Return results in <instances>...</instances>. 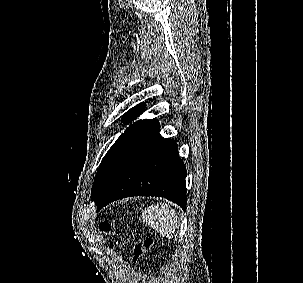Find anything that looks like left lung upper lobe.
Returning a JSON list of instances; mask_svg holds the SVG:
<instances>
[{
	"label": "left lung upper lobe",
	"mask_w": 303,
	"mask_h": 283,
	"mask_svg": "<svg viewBox=\"0 0 303 283\" xmlns=\"http://www.w3.org/2000/svg\"><path fill=\"white\" fill-rule=\"evenodd\" d=\"M144 104V103H143ZM142 103L134 106L128 112H126L122 118L124 123L131 122L134 118L139 116L144 111ZM142 120L131 124L126 131L116 140L110 151L102 159L101 164L97 170V174L94 180L92 195L102 186L105 179L107 178L113 164L115 163L118 154L121 152L125 144L132 137Z\"/></svg>",
	"instance_id": "5c2ea615"
}]
</instances>
